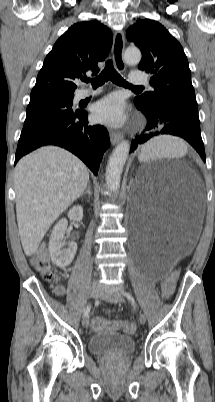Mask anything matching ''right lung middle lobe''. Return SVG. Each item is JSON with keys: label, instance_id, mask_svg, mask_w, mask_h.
<instances>
[{"label": "right lung middle lobe", "instance_id": "obj_1", "mask_svg": "<svg viewBox=\"0 0 215 402\" xmlns=\"http://www.w3.org/2000/svg\"><path fill=\"white\" fill-rule=\"evenodd\" d=\"M71 96H48L31 99L19 141L52 124L61 122L78 111H73Z\"/></svg>", "mask_w": 215, "mask_h": 402}]
</instances>
